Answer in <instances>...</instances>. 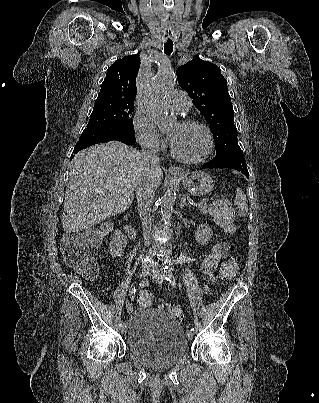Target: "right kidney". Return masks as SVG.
Here are the masks:
<instances>
[{
  "label": "right kidney",
  "mask_w": 319,
  "mask_h": 403,
  "mask_svg": "<svg viewBox=\"0 0 319 403\" xmlns=\"http://www.w3.org/2000/svg\"><path fill=\"white\" fill-rule=\"evenodd\" d=\"M127 244V237L120 232L115 230L112 240L109 244V249L112 257H121L124 253V248Z\"/></svg>",
  "instance_id": "1"
}]
</instances>
